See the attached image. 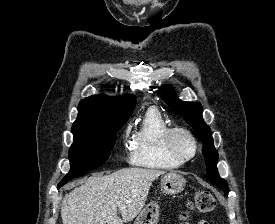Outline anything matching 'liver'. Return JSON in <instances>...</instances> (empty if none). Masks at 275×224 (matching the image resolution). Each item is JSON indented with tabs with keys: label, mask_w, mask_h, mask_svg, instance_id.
I'll return each mask as SVG.
<instances>
[{
	"label": "liver",
	"mask_w": 275,
	"mask_h": 224,
	"mask_svg": "<svg viewBox=\"0 0 275 224\" xmlns=\"http://www.w3.org/2000/svg\"><path fill=\"white\" fill-rule=\"evenodd\" d=\"M163 174L156 169L127 168L109 175H93L65 194L61 203L63 224L129 222L142 211L152 182Z\"/></svg>",
	"instance_id": "obj_1"
}]
</instances>
